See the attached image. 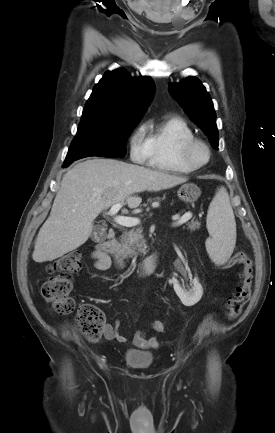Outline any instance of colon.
Masks as SVG:
<instances>
[{
	"label": "colon",
	"mask_w": 275,
	"mask_h": 433,
	"mask_svg": "<svg viewBox=\"0 0 275 433\" xmlns=\"http://www.w3.org/2000/svg\"><path fill=\"white\" fill-rule=\"evenodd\" d=\"M229 263L241 266L236 289L226 302V316L229 320H235L251 297L253 264L244 251L237 252ZM81 269V254L78 251L62 255L47 268V272L52 276L42 284L41 293L60 315H68L75 310L76 303L71 297L73 276ZM76 318L79 330L87 341L95 342L100 339L105 317L97 306L91 303L79 305ZM152 328L156 332H163L166 323L156 320L152 323Z\"/></svg>",
	"instance_id": "5ec220e1"
}]
</instances>
